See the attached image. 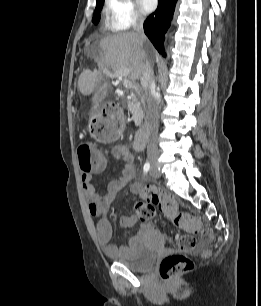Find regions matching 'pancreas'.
Here are the masks:
<instances>
[{
  "label": "pancreas",
  "mask_w": 261,
  "mask_h": 306,
  "mask_svg": "<svg viewBox=\"0 0 261 306\" xmlns=\"http://www.w3.org/2000/svg\"><path fill=\"white\" fill-rule=\"evenodd\" d=\"M128 112L132 114V118L137 126L141 125L145 117V103L142 95L130 92V99L127 101Z\"/></svg>",
  "instance_id": "1"
}]
</instances>
